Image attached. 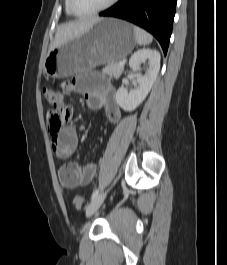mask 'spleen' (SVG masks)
I'll list each match as a JSON object with an SVG mask.
<instances>
[{"label": "spleen", "mask_w": 227, "mask_h": 265, "mask_svg": "<svg viewBox=\"0 0 227 265\" xmlns=\"http://www.w3.org/2000/svg\"><path fill=\"white\" fill-rule=\"evenodd\" d=\"M134 32L137 43L140 45H147L153 40L152 36L149 33L138 26H134Z\"/></svg>", "instance_id": "spleen-1"}]
</instances>
